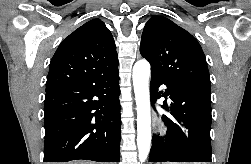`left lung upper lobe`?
<instances>
[{
  "label": "left lung upper lobe",
  "mask_w": 251,
  "mask_h": 164,
  "mask_svg": "<svg viewBox=\"0 0 251 164\" xmlns=\"http://www.w3.org/2000/svg\"><path fill=\"white\" fill-rule=\"evenodd\" d=\"M140 53L151 71L211 91L210 75L203 50L186 30L163 16L146 23Z\"/></svg>",
  "instance_id": "1"
}]
</instances>
